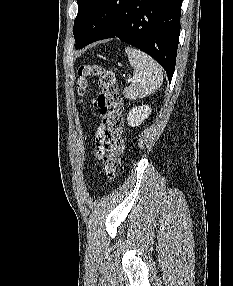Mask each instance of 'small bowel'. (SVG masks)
<instances>
[{
	"instance_id": "small-bowel-1",
	"label": "small bowel",
	"mask_w": 233,
	"mask_h": 286,
	"mask_svg": "<svg viewBox=\"0 0 233 286\" xmlns=\"http://www.w3.org/2000/svg\"><path fill=\"white\" fill-rule=\"evenodd\" d=\"M94 102L95 100L93 99L92 103ZM104 138H105V132L103 127L100 126L95 134V152L99 158L103 157L105 153Z\"/></svg>"
}]
</instances>
